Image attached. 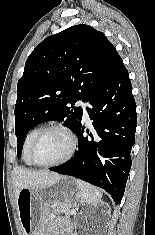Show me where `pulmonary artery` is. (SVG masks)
<instances>
[{
    "instance_id": "e3ab8cb5",
    "label": "pulmonary artery",
    "mask_w": 155,
    "mask_h": 235,
    "mask_svg": "<svg viewBox=\"0 0 155 235\" xmlns=\"http://www.w3.org/2000/svg\"><path fill=\"white\" fill-rule=\"evenodd\" d=\"M77 104L82 107L84 117H85L86 119H88V113H87V110H86V108H87V103L84 102V101H82V100H79V101L77 102Z\"/></svg>"
}]
</instances>
